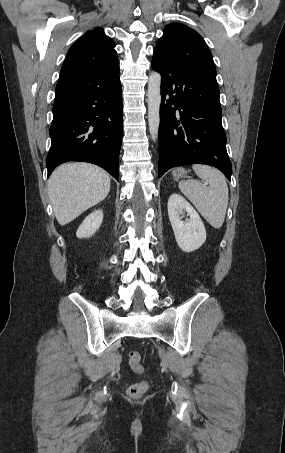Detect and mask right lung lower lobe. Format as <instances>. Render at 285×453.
Instances as JSON below:
<instances>
[{"mask_svg":"<svg viewBox=\"0 0 285 453\" xmlns=\"http://www.w3.org/2000/svg\"><path fill=\"white\" fill-rule=\"evenodd\" d=\"M122 129L119 68L61 72L49 131L48 176L64 162L84 161L104 168L119 181Z\"/></svg>","mask_w":285,"mask_h":453,"instance_id":"right-lung-lower-lobe-1","label":"right lung lower lobe"}]
</instances>
